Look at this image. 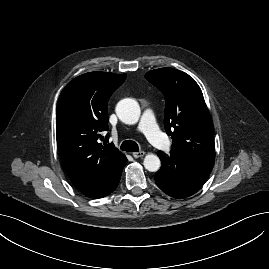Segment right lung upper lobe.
Listing matches in <instances>:
<instances>
[{
    "instance_id": "cb5924a9",
    "label": "right lung upper lobe",
    "mask_w": 269,
    "mask_h": 269,
    "mask_svg": "<svg viewBox=\"0 0 269 269\" xmlns=\"http://www.w3.org/2000/svg\"><path fill=\"white\" fill-rule=\"evenodd\" d=\"M125 79L126 74L86 73L69 82L59 97L57 147L78 190L104 181L127 159L113 144L101 143L108 131V100Z\"/></svg>"
}]
</instances>
